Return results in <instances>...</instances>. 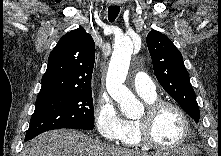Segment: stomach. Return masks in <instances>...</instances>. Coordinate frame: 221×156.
Wrapping results in <instances>:
<instances>
[{
  "mask_svg": "<svg viewBox=\"0 0 221 156\" xmlns=\"http://www.w3.org/2000/svg\"><path fill=\"white\" fill-rule=\"evenodd\" d=\"M183 152H184L183 149H181V150H178L175 155H171V156H177L178 154L183 155ZM160 156H170V155H160Z\"/></svg>",
  "mask_w": 221,
  "mask_h": 156,
  "instance_id": "1",
  "label": "stomach"
}]
</instances>
